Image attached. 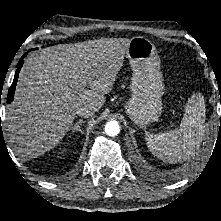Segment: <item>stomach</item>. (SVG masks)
<instances>
[{"label":"stomach","instance_id":"stomach-1","mask_svg":"<svg viewBox=\"0 0 221 221\" xmlns=\"http://www.w3.org/2000/svg\"><path fill=\"white\" fill-rule=\"evenodd\" d=\"M126 57L133 75L132 94L125 104V112L137 126L143 128L158 121L162 113L164 84L160 58L155 45L141 36L130 39Z\"/></svg>","mask_w":221,"mask_h":221}]
</instances>
